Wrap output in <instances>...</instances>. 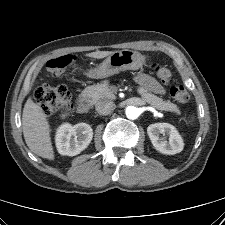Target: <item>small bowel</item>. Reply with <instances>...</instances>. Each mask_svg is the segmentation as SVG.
I'll list each match as a JSON object with an SVG mask.
<instances>
[{
    "instance_id": "obj_1",
    "label": "small bowel",
    "mask_w": 225,
    "mask_h": 225,
    "mask_svg": "<svg viewBox=\"0 0 225 225\" xmlns=\"http://www.w3.org/2000/svg\"><path fill=\"white\" fill-rule=\"evenodd\" d=\"M136 82L144 89L154 92L156 94H163L164 87L156 79L146 73H139L135 77Z\"/></svg>"
}]
</instances>
